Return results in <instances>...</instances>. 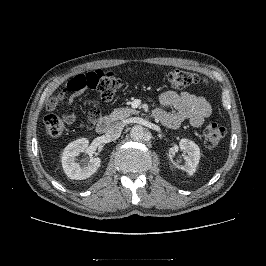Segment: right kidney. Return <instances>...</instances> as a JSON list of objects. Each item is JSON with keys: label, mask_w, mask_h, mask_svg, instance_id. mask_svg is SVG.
Returning <instances> with one entry per match:
<instances>
[{"label": "right kidney", "mask_w": 266, "mask_h": 266, "mask_svg": "<svg viewBox=\"0 0 266 266\" xmlns=\"http://www.w3.org/2000/svg\"><path fill=\"white\" fill-rule=\"evenodd\" d=\"M89 145V141L86 138H81L71 142L63 151L62 155V167L65 174L70 179L83 180L93 175L100 167L101 159L99 157H91L88 164L80 166L75 162V157L80 152H84Z\"/></svg>", "instance_id": "obj_1"}]
</instances>
